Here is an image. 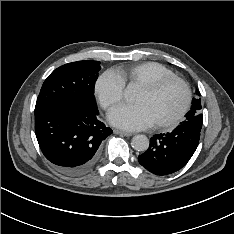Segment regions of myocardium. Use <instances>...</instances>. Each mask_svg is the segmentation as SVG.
<instances>
[{
	"instance_id": "obj_1",
	"label": "myocardium",
	"mask_w": 234,
	"mask_h": 234,
	"mask_svg": "<svg viewBox=\"0 0 234 234\" xmlns=\"http://www.w3.org/2000/svg\"><path fill=\"white\" fill-rule=\"evenodd\" d=\"M172 83H177L182 87L184 91V102L181 108L173 117H171L170 119L166 121L154 123L153 127L156 129H169L180 122V120L184 117V115L187 113L190 107L191 99H192L191 89L189 85L183 79L177 76L165 77V78L156 80L152 83L141 85L139 87V90L150 95V94H154L158 92L162 88Z\"/></svg>"
}]
</instances>
